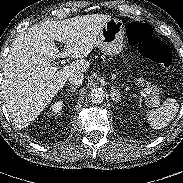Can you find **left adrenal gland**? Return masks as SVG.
Returning <instances> with one entry per match:
<instances>
[{"mask_svg": "<svg viewBox=\"0 0 183 183\" xmlns=\"http://www.w3.org/2000/svg\"><path fill=\"white\" fill-rule=\"evenodd\" d=\"M110 96H111V99L113 101H115L116 103L120 101V93L116 89H114L113 87L111 88Z\"/></svg>", "mask_w": 183, "mask_h": 183, "instance_id": "a2214340", "label": "left adrenal gland"}]
</instances>
